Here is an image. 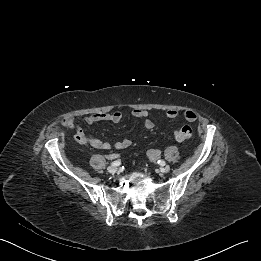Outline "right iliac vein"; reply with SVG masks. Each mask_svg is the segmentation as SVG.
Listing matches in <instances>:
<instances>
[{
	"label": "right iliac vein",
	"instance_id": "63e3f726",
	"mask_svg": "<svg viewBox=\"0 0 261 261\" xmlns=\"http://www.w3.org/2000/svg\"><path fill=\"white\" fill-rule=\"evenodd\" d=\"M107 170H108L109 173L113 174L117 171V167L116 166H109Z\"/></svg>",
	"mask_w": 261,
	"mask_h": 261
}]
</instances>
